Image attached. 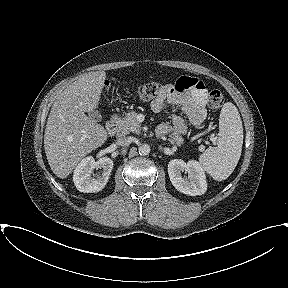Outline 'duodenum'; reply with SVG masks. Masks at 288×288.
<instances>
[{
	"label": "duodenum",
	"mask_w": 288,
	"mask_h": 288,
	"mask_svg": "<svg viewBox=\"0 0 288 288\" xmlns=\"http://www.w3.org/2000/svg\"><path fill=\"white\" fill-rule=\"evenodd\" d=\"M118 128V116L114 114L106 123V129L110 135H114Z\"/></svg>",
	"instance_id": "duodenum-1"
}]
</instances>
